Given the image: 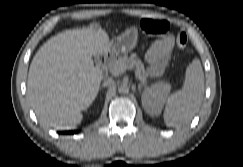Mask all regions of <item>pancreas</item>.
Returning a JSON list of instances; mask_svg holds the SVG:
<instances>
[{
    "label": "pancreas",
    "instance_id": "obj_1",
    "mask_svg": "<svg viewBox=\"0 0 243 167\" xmlns=\"http://www.w3.org/2000/svg\"><path fill=\"white\" fill-rule=\"evenodd\" d=\"M118 66H124L130 69L134 68L136 76L141 77V81L143 83L146 82L148 73L145 70L143 62L137 57L135 53L131 54L130 57L123 55L119 56L118 59L113 60L109 65L110 71L114 70ZM112 74L116 75L114 73Z\"/></svg>",
    "mask_w": 243,
    "mask_h": 167
}]
</instances>
